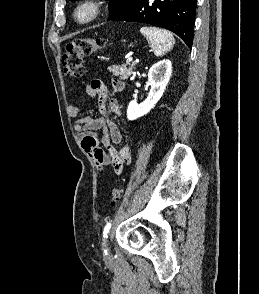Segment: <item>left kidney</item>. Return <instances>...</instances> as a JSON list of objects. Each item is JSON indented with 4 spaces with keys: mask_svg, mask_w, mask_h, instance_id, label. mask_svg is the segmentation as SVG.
Instances as JSON below:
<instances>
[{
    "mask_svg": "<svg viewBox=\"0 0 259 294\" xmlns=\"http://www.w3.org/2000/svg\"><path fill=\"white\" fill-rule=\"evenodd\" d=\"M172 74V63L164 59L154 64L148 72V81L151 85L148 97L141 103L131 101L127 108L128 120H135L150 112L165 92Z\"/></svg>",
    "mask_w": 259,
    "mask_h": 294,
    "instance_id": "left-kidney-1",
    "label": "left kidney"
}]
</instances>
